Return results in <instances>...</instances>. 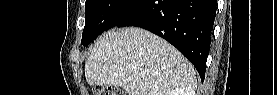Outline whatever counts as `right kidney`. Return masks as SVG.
Instances as JSON below:
<instances>
[{"label":"right kidney","instance_id":"ca27d5eb","mask_svg":"<svg viewBox=\"0 0 277 95\" xmlns=\"http://www.w3.org/2000/svg\"><path fill=\"white\" fill-rule=\"evenodd\" d=\"M170 95H186V94H189V93H184L183 90H178V89H175L173 91H171V93H169Z\"/></svg>","mask_w":277,"mask_h":95}]
</instances>
